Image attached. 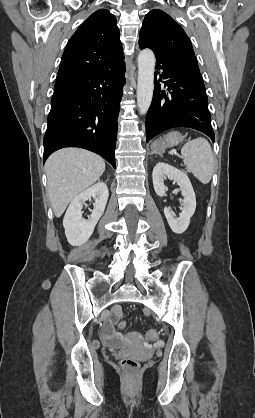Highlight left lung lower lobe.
Wrapping results in <instances>:
<instances>
[{
    "mask_svg": "<svg viewBox=\"0 0 255 418\" xmlns=\"http://www.w3.org/2000/svg\"><path fill=\"white\" fill-rule=\"evenodd\" d=\"M162 80L166 91L161 90ZM154 83L146 118L147 142L173 127L196 129L214 141L208 98L195 56L157 58Z\"/></svg>",
    "mask_w": 255,
    "mask_h": 418,
    "instance_id": "obj_1",
    "label": "left lung lower lobe"
}]
</instances>
